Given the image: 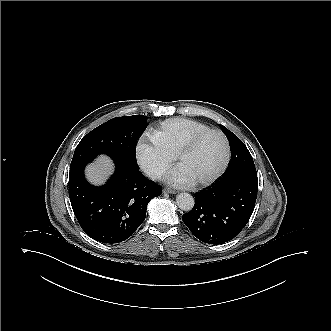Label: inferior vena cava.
I'll return each mask as SVG.
<instances>
[{"instance_id": "inferior-vena-cava-1", "label": "inferior vena cava", "mask_w": 331, "mask_h": 331, "mask_svg": "<svg viewBox=\"0 0 331 331\" xmlns=\"http://www.w3.org/2000/svg\"><path fill=\"white\" fill-rule=\"evenodd\" d=\"M145 174L153 180L160 179L164 172L160 168L147 167L144 169Z\"/></svg>"}]
</instances>
